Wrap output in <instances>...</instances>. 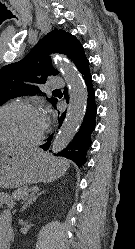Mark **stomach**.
Here are the masks:
<instances>
[{"label": "stomach", "instance_id": "obj_1", "mask_svg": "<svg viewBox=\"0 0 135 249\" xmlns=\"http://www.w3.org/2000/svg\"><path fill=\"white\" fill-rule=\"evenodd\" d=\"M67 168L36 148H0V188L49 182L62 176Z\"/></svg>", "mask_w": 135, "mask_h": 249}]
</instances>
